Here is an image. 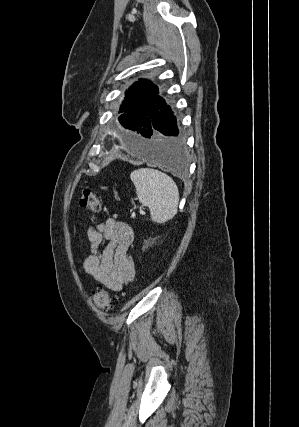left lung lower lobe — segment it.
<instances>
[{"instance_id":"obj_1","label":"left lung lower lobe","mask_w":299,"mask_h":427,"mask_svg":"<svg viewBox=\"0 0 299 427\" xmlns=\"http://www.w3.org/2000/svg\"><path fill=\"white\" fill-rule=\"evenodd\" d=\"M153 110L148 118L142 119L144 130L140 135L148 139L137 150L146 160L182 173L187 168V162L177 120L166 102L157 106L155 116Z\"/></svg>"}]
</instances>
